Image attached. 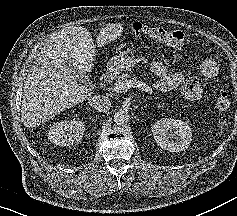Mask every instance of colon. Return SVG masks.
Instances as JSON below:
<instances>
[{
  "label": "colon",
  "mask_w": 237,
  "mask_h": 216,
  "mask_svg": "<svg viewBox=\"0 0 237 216\" xmlns=\"http://www.w3.org/2000/svg\"><path fill=\"white\" fill-rule=\"evenodd\" d=\"M132 28L136 34L148 36L176 49L183 48L187 43V37L181 31H167L162 28L150 27L142 23H134ZM230 104L231 101L228 93L225 91L221 92L216 100L217 108L226 110L230 107Z\"/></svg>",
  "instance_id": "colon-1"
}]
</instances>
